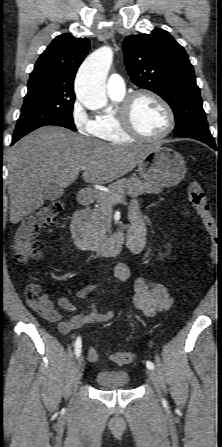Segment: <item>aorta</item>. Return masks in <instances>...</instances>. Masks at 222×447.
<instances>
[{
	"label": "aorta",
	"instance_id": "762f6f07",
	"mask_svg": "<svg viewBox=\"0 0 222 447\" xmlns=\"http://www.w3.org/2000/svg\"><path fill=\"white\" fill-rule=\"evenodd\" d=\"M113 60V51L103 46L89 55L77 73L75 92L77 100L90 110L107 107L105 79Z\"/></svg>",
	"mask_w": 222,
	"mask_h": 447
}]
</instances>
